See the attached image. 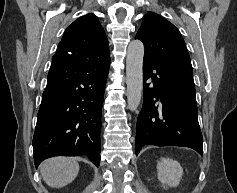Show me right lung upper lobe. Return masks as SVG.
I'll return each mask as SVG.
<instances>
[{
  "mask_svg": "<svg viewBox=\"0 0 237 193\" xmlns=\"http://www.w3.org/2000/svg\"><path fill=\"white\" fill-rule=\"evenodd\" d=\"M55 55L77 62L109 58L108 40L97 17L89 13L75 20L66 29Z\"/></svg>",
  "mask_w": 237,
  "mask_h": 193,
  "instance_id": "right-lung-upper-lobe-1",
  "label": "right lung upper lobe"
}]
</instances>
